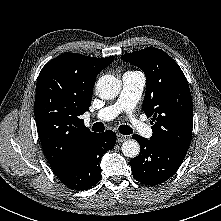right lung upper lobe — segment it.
<instances>
[{"instance_id":"obj_1","label":"right lung upper lobe","mask_w":221,"mask_h":221,"mask_svg":"<svg viewBox=\"0 0 221 221\" xmlns=\"http://www.w3.org/2000/svg\"><path fill=\"white\" fill-rule=\"evenodd\" d=\"M113 60L114 56L93 58L67 53L47 63L39 74L35 120L43 151L56 175L72 165L92 134L80 116L91 105L98 73Z\"/></svg>"}]
</instances>
